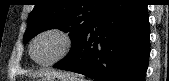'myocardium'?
Masks as SVG:
<instances>
[{
	"label": "myocardium",
	"instance_id": "obj_1",
	"mask_svg": "<svg viewBox=\"0 0 169 81\" xmlns=\"http://www.w3.org/2000/svg\"><path fill=\"white\" fill-rule=\"evenodd\" d=\"M48 34H53V35H56V36L60 37L62 39L63 43H64V46H63V49L60 52V54L55 59H53L52 61L46 62V63H41V62H38L34 58L33 47H34L35 42L40 37H42L44 35H48ZM72 47H73V37H72V35L68 31H66L64 29L54 27V28H48L46 30L41 31L40 33H38L32 39L30 47H29V53H30V56H31V59L33 60V62L36 63L38 66L50 67V66H53L54 64L60 62L62 59H64L69 54V52L71 51Z\"/></svg>",
	"mask_w": 169,
	"mask_h": 81
}]
</instances>
